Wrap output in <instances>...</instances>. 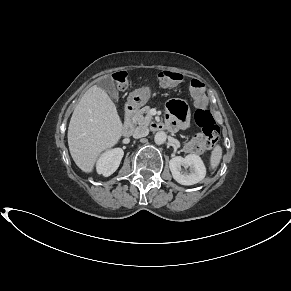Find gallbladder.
Segmentation results:
<instances>
[{"instance_id":"obj_1","label":"gallbladder","mask_w":291,"mask_h":291,"mask_svg":"<svg viewBox=\"0 0 291 291\" xmlns=\"http://www.w3.org/2000/svg\"><path fill=\"white\" fill-rule=\"evenodd\" d=\"M98 87L108 92L115 100H118L119 94L115 82L110 75L104 76L97 82Z\"/></svg>"}]
</instances>
